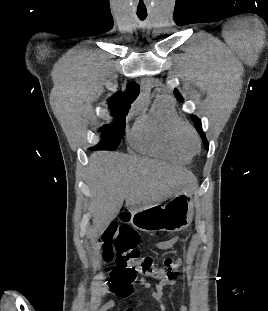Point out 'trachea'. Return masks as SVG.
Masks as SVG:
<instances>
[{
  "instance_id": "1",
  "label": "trachea",
  "mask_w": 268,
  "mask_h": 311,
  "mask_svg": "<svg viewBox=\"0 0 268 311\" xmlns=\"http://www.w3.org/2000/svg\"><path fill=\"white\" fill-rule=\"evenodd\" d=\"M137 16H138V18L140 19V20H145L146 19V17H147V14H137Z\"/></svg>"
}]
</instances>
